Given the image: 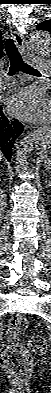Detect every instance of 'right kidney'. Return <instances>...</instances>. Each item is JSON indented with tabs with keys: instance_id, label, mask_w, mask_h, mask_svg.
Returning a JSON list of instances; mask_svg holds the SVG:
<instances>
[{
	"instance_id": "1",
	"label": "right kidney",
	"mask_w": 51,
	"mask_h": 393,
	"mask_svg": "<svg viewBox=\"0 0 51 393\" xmlns=\"http://www.w3.org/2000/svg\"><path fill=\"white\" fill-rule=\"evenodd\" d=\"M4 205H5V195H4V192L1 191V195H0V206H1V210H3Z\"/></svg>"
}]
</instances>
